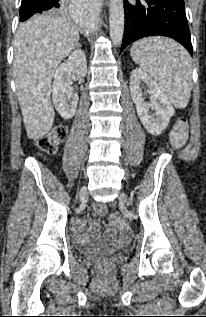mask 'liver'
Returning a JSON list of instances; mask_svg holds the SVG:
<instances>
[{"label": "liver", "instance_id": "6515ba94", "mask_svg": "<svg viewBox=\"0 0 206 317\" xmlns=\"http://www.w3.org/2000/svg\"><path fill=\"white\" fill-rule=\"evenodd\" d=\"M67 14H42L20 25L13 59L16 92L29 139L42 138L52 127V77L79 42Z\"/></svg>", "mask_w": 206, "mask_h": 317}]
</instances>
